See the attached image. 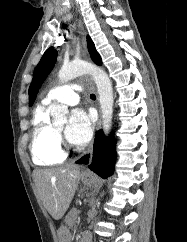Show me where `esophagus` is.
<instances>
[{
	"label": "esophagus",
	"mask_w": 187,
	"mask_h": 242,
	"mask_svg": "<svg viewBox=\"0 0 187 242\" xmlns=\"http://www.w3.org/2000/svg\"><path fill=\"white\" fill-rule=\"evenodd\" d=\"M78 28H79V31H80V35H81V40H82V45H83V48H84V51L87 52V48H86V33H85V30L83 28V25L81 23V21H78Z\"/></svg>",
	"instance_id": "1"
}]
</instances>
